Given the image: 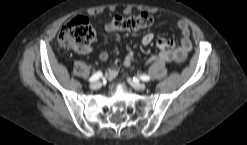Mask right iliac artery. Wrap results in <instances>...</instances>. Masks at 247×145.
<instances>
[{"instance_id": "1", "label": "right iliac artery", "mask_w": 247, "mask_h": 145, "mask_svg": "<svg viewBox=\"0 0 247 145\" xmlns=\"http://www.w3.org/2000/svg\"><path fill=\"white\" fill-rule=\"evenodd\" d=\"M100 77H102V73H101L100 71H98V72L94 73V74L90 77L89 81H90V82L97 81Z\"/></svg>"}]
</instances>
